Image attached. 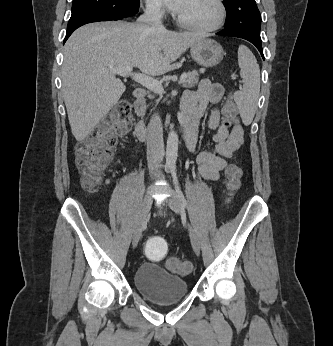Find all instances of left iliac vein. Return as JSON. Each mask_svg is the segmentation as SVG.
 Returning a JSON list of instances; mask_svg holds the SVG:
<instances>
[{
  "label": "left iliac vein",
  "mask_w": 333,
  "mask_h": 346,
  "mask_svg": "<svg viewBox=\"0 0 333 346\" xmlns=\"http://www.w3.org/2000/svg\"><path fill=\"white\" fill-rule=\"evenodd\" d=\"M167 205L176 213H181V203L177 193L170 191V196L166 199ZM188 231L192 247L197 255L200 254V240L195 230L188 224Z\"/></svg>",
  "instance_id": "left-iliac-vein-1"
}]
</instances>
